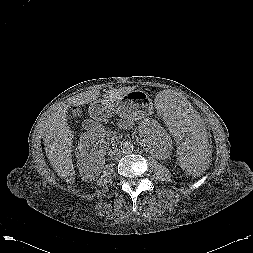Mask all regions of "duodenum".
<instances>
[{"label": "duodenum", "mask_w": 253, "mask_h": 253, "mask_svg": "<svg viewBox=\"0 0 253 253\" xmlns=\"http://www.w3.org/2000/svg\"><path fill=\"white\" fill-rule=\"evenodd\" d=\"M106 110H107V107L100 103L95 104L91 109L92 114L94 116L98 115L99 117H101L106 112ZM93 128H94V125H90L87 127L88 130H91Z\"/></svg>", "instance_id": "1"}]
</instances>
